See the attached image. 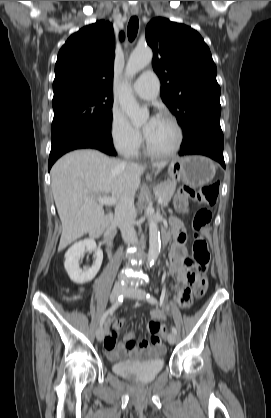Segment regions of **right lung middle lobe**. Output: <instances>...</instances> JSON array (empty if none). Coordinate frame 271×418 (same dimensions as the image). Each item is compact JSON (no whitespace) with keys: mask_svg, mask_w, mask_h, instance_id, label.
Returning <instances> with one entry per match:
<instances>
[{"mask_svg":"<svg viewBox=\"0 0 271 418\" xmlns=\"http://www.w3.org/2000/svg\"><path fill=\"white\" fill-rule=\"evenodd\" d=\"M52 104V135L93 124L111 129L113 95H74L52 101Z\"/></svg>","mask_w":271,"mask_h":418,"instance_id":"1","label":"right lung middle lobe"}]
</instances>
